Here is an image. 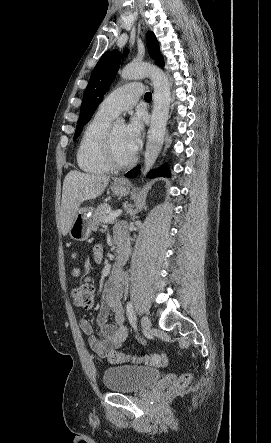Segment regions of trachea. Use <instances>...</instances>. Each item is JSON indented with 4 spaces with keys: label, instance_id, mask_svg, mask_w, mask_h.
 Returning <instances> with one entry per match:
<instances>
[{
    "label": "trachea",
    "instance_id": "obj_1",
    "mask_svg": "<svg viewBox=\"0 0 271 443\" xmlns=\"http://www.w3.org/2000/svg\"><path fill=\"white\" fill-rule=\"evenodd\" d=\"M145 100H146V101H150V100H152V95H151L150 92L145 93Z\"/></svg>",
    "mask_w": 271,
    "mask_h": 443
}]
</instances>
